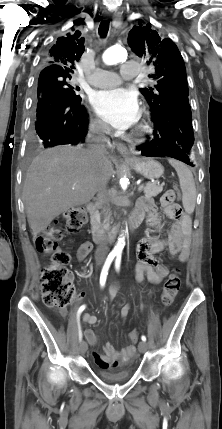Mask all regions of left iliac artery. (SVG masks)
Here are the masks:
<instances>
[{"instance_id": "obj_1", "label": "left iliac artery", "mask_w": 222, "mask_h": 429, "mask_svg": "<svg viewBox=\"0 0 222 429\" xmlns=\"http://www.w3.org/2000/svg\"><path fill=\"white\" fill-rule=\"evenodd\" d=\"M121 264V255H117L116 261H115V269L116 271H119ZM142 341H146V337L144 335L141 336Z\"/></svg>"}]
</instances>
